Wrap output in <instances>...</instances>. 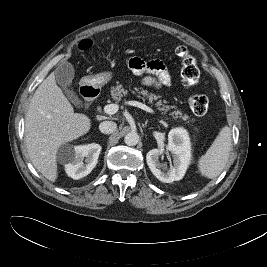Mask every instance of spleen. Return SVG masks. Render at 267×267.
Masks as SVG:
<instances>
[{"mask_svg":"<svg viewBox=\"0 0 267 267\" xmlns=\"http://www.w3.org/2000/svg\"><path fill=\"white\" fill-rule=\"evenodd\" d=\"M231 131L224 126L207 152L198 160V168L202 176L216 178L226 166L231 150Z\"/></svg>","mask_w":267,"mask_h":267,"instance_id":"obj_1","label":"spleen"}]
</instances>
